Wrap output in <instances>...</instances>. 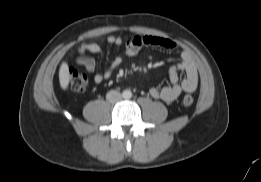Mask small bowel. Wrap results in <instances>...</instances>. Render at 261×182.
Listing matches in <instances>:
<instances>
[{"instance_id": "c3829d8e", "label": "small bowel", "mask_w": 261, "mask_h": 182, "mask_svg": "<svg viewBox=\"0 0 261 182\" xmlns=\"http://www.w3.org/2000/svg\"><path fill=\"white\" fill-rule=\"evenodd\" d=\"M105 42L118 49L123 47V55L116 56L105 71H99L94 75L93 81L95 84H100L104 80L109 79L121 66L124 57H134L144 47H157L164 50L178 51L181 59L169 69L170 84L162 88H151L150 95L153 98L171 102L177 99L183 92H193L196 90L198 86V71L193 57L189 51L181 48L171 39L157 35H138L124 41L120 37L109 36L105 39ZM87 53L95 54L100 59H103L105 52L99 43H85L79 47L78 64L83 66L86 71L94 72L96 69V60L87 55ZM180 71L185 73V77L181 81L179 80Z\"/></svg>"}]
</instances>
